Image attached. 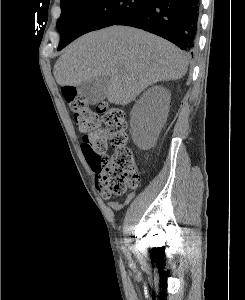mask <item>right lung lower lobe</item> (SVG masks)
I'll list each match as a JSON object with an SVG mask.
<instances>
[{"mask_svg":"<svg viewBox=\"0 0 245 300\" xmlns=\"http://www.w3.org/2000/svg\"><path fill=\"white\" fill-rule=\"evenodd\" d=\"M199 6V0H150L114 25L146 30L193 54L198 33Z\"/></svg>","mask_w":245,"mask_h":300,"instance_id":"right-lung-lower-lobe-1","label":"right lung lower lobe"}]
</instances>
